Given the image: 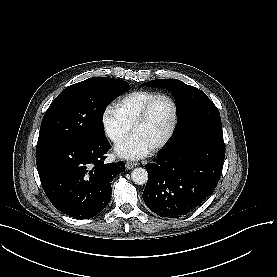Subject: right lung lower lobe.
<instances>
[{"label": "right lung lower lobe", "mask_w": 277, "mask_h": 277, "mask_svg": "<svg viewBox=\"0 0 277 277\" xmlns=\"http://www.w3.org/2000/svg\"><path fill=\"white\" fill-rule=\"evenodd\" d=\"M111 148L106 137L90 141L51 142L36 146V164L43 189L63 213L89 219L111 199V180L125 164H105Z\"/></svg>", "instance_id": "1"}]
</instances>
